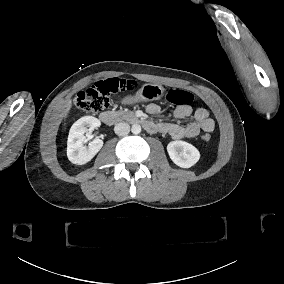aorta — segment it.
Returning <instances> with one entry per match:
<instances>
[{
    "instance_id": "762f6f07",
    "label": "aorta",
    "mask_w": 284,
    "mask_h": 284,
    "mask_svg": "<svg viewBox=\"0 0 284 284\" xmlns=\"http://www.w3.org/2000/svg\"><path fill=\"white\" fill-rule=\"evenodd\" d=\"M131 131L133 134H139L141 132V126L139 124L132 125Z\"/></svg>"
}]
</instances>
